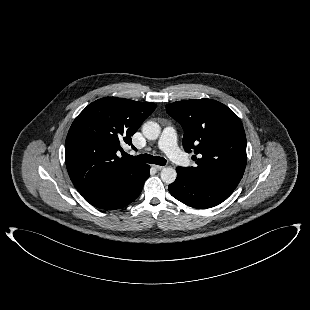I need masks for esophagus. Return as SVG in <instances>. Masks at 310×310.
<instances>
[{
  "label": "esophagus",
  "mask_w": 310,
  "mask_h": 310,
  "mask_svg": "<svg viewBox=\"0 0 310 310\" xmlns=\"http://www.w3.org/2000/svg\"><path fill=\"white\" fill-rule=\"evenodd\" d=\"M152 167L156 169L157 171H160L164 168V166H160V165H152Z\"/></svg>",
  "instance_id": "obj_1"
}]
</instances>
